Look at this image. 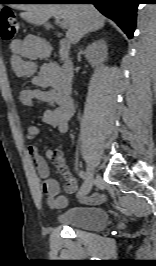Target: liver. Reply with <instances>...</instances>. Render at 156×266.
Masks as SVG:
<instances>
[{
    "label": "liver",
    "instance_id": "liver-1",
    "mask_svg": "<svg viewBox=\"0 0 156 266\" xmlns=\"http://www.w3.org/2000/svg\"><path fill=\"white\" fill-rule=\"evenodd\" d=\"M23 12L20 16L34 25H41L51 17L66 21V37L73 44L85 34L99 30L105 25V18L89 4H17Z\"/></svg>",
    "mask_w": 156,
    "mask_h": 266
}]
</instances>
